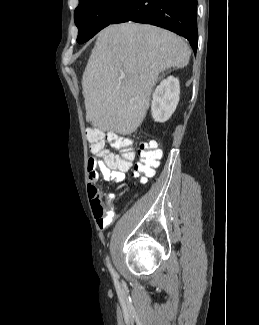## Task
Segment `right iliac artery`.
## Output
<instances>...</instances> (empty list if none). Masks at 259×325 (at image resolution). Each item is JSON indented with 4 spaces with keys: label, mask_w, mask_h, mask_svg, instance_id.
Segmentation results:
<instances>
[{
    "label": "right iliac artery",
    "mask_w": 259,
    "mask_h": 325,
    "mask_svg": "<svg viewBox=\"0 0 259 325\" xmlns=\"http://www.w3.org/2000/svg\"><path fill=\"white\" fill-rule=\"evenodd\" d=\"M107 266H108V268H109V270H110V272H111V274H112L114 280H117L118 275H117V273L114 271V269L112 268V266H111V264H110V261H109V258H108V257H107Z\"/></svg>",
    "instance_id": "obj_1"
}]
</instances>
